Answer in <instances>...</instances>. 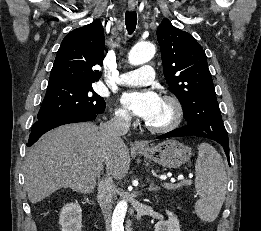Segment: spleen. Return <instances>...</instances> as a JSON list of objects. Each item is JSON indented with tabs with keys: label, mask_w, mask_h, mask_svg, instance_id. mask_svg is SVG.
<instances>
[{
	"label": "spleen",
	"mask_w": 261,
	"mask_h": 231,
	"mask_svg": "<svg viewBox=\"0 0 261 231\" xmlns=\"http://www.w3.org/2000/svg\"><path fill=\"white\" fill-rule=\"evenodd\" d=\"M195 171V187L199 195L195 211L201 220L212 222L217 218L225 200L227 175L223 159L210 144L198 145Z\"/></svg>",
	"instance_id": "1"
}]
</instances>
